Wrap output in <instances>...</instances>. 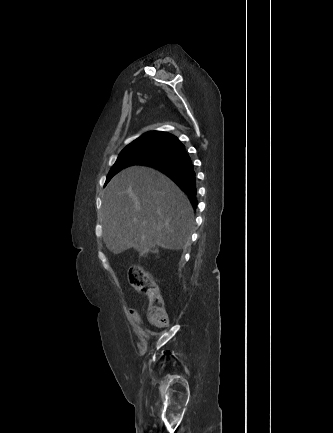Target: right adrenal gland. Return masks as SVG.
I'll use <instances>...</instances> for the list:
<instances>
[{"mask_svg": "<svg viewBox=\"0 0 333 433\" xmlns=\"http://www.w3.org/2000/svg\"><path fill=\"white\" fill-rule=\"evenodd\" d=\"M156 251H158V249L155 247L150 252H156Z\"/></svg>", "mask_w": 333, "mask_h": 433, "instance_id": "right-adrenal-gland-1", "label": "right adrenal gland"}]
</instances>
